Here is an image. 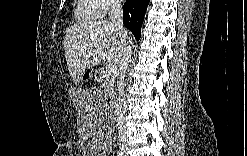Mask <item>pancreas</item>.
Returning a JSON list of instances; mask_svg holds the SVG:
<instances>
[{
    "instance_id": "1",
    "label": "pancreas",
    "mask_w": 247,
    "mask_h": 156,
    "mask_svg": "<svg viewBox=\"0 0 247 156\" xmlns=\"http://www.w3.org/2000/svg\"><path fill=\"white\" fill-rule=\"evenodd\" d=\"M116 75L106 73L105 69L99 71V76L97 80L102 83L105 92L110 96L115 91Z\"/></svg>"
}]
</instances>
